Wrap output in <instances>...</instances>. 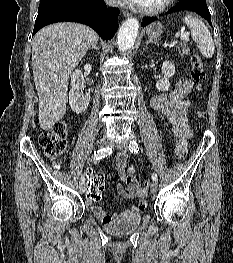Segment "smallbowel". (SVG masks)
<instances>
[{"mask_svg":"<svg viewBox=\"0 0 233 263\" xmlns=\"http://www.w3.org/2000/svg\"><path fill=\"white\" fill-rule=\"evenodd\" d=\"M192 88L193 82L191 80L180 79L175 83L171 91L156 94L150 100L151 108L164 119L166 134L175 146L176 155L181 151H187L188 142L192 136V129L188 124L186 115L189 108L187 96ZM168 125H170L171 131L167 129ZM114 166L120 179L126 185L118 184L116 187L117 193L124 199L137 198V203L133 206L132 210H143L146 206L145 197L147 191L139 185L133 174V168L128 167L127 154H117ZM88 203L95 217L103 223H108L118 216L116 214H108L101 206L95 205V202H89L88 200Z\"/></svg>","mask_w":233,"mask_h":263,"instance_id":"1","label":"small bowel"}]
</instances>
